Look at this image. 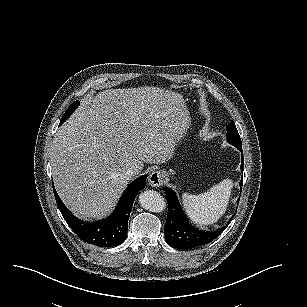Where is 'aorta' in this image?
Wrapping results in <instances>:
<instances>
[{
	"label": "aorta",
	"mask_w": 307,
	"mask_h": 307,
	"mask_svg": "<svg viewBox=\"0 0 307 307\" xmlns=\"http://www.w3.org/2000/svg\"><path fill=\"white\" fill-rule=\"evenodd\" d=\"M139 204L145 210L160 213L166 208V201L154 190H145L139 195Z\"/></svg>",
	"instance_id": "obj_1"
}]
</instances>
